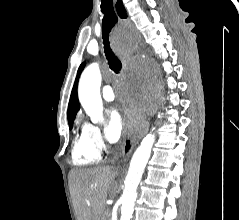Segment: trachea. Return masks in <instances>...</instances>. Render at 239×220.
Listing matches in <instances>:
<instances>
[{
  "instance_id": "trachea-1",
  "label": "trachea",
  "mask_w": 239,
  "mask_h": 220,
  "mask_svg": "<svg viewBox=\"0 0 239 220\" xmlns=\"http://www.w3.org/2000/svg\"><path fill=\"white\" fill-rule=\"evenodd\" d=\"M101 11L104 14L102 34L106 58L110 69L118 74L122 67L121 61L113 53L109 43V33L118 20L114 11L113 0H101Z\"/></svg>"
}]
</instances>
